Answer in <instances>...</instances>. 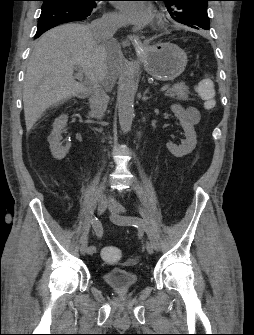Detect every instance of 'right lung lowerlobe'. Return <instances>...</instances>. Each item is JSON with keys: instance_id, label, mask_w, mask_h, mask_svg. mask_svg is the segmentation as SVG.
<instances>
[{"instance_id": "right-lung-lower-lobe-1", "label": "right lung lower lobe", "mask_w": 254, "mask_h": 335, "mask_svg": "<svg viewBox=\"0 0 254 335\" xmlns=\"http://www.w3.org/2000/svg\"><path fill=\"white\" fill-rule=\"evenodd\" d=\"M92 9L93 7L69 0L44 2L35 38L59 24L86 19L91 14Z\"/></svg>"}]
</instances>
